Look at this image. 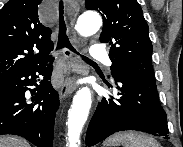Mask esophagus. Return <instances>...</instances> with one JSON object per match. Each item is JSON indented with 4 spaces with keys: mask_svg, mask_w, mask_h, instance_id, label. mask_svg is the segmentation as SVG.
<instances>
[{
    "mask_svg": "<svg viewBox=\"0 0 183 147\" xmlns=\"http://www.w3.org/2000/svg\"><path fill=\"white\" fill-rule=\"evenodd\" d=\"M65 8L66 10H68L67 0H65ZM70 40L73 44L75 43V38L72 34L70 36ZM63 56L68 60V74L59 89V97L61 101H63L67 96L72 94V92L75 90V74L79 71L76 67V58L72 51L65 48L63 50Z\"/></svg>",
    "mask_w": 183,
    "mask_h": 147,
    "instance_id": "esophagus-1",
    "label": "esophagus"
}]
</instances>
